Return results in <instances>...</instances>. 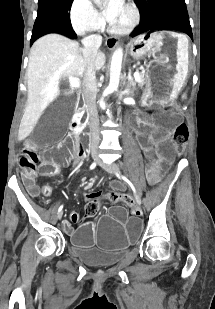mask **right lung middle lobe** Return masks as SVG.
<instances>
[{"mask_svg": "<svg viewBox=\"0 0 215 309\" xmlns=\"http://www.w3.org/2000/svg\"><path fill=\"white\" fill-rule=\"evenodd\" d=\"M72 1L38 0V12L32 31L31 44L42 35L52 32L76 38L69 14Z\"/></svg>", "mask_w": 215, "mask_h": 309, "instance_id": "obj_1", "label": "right lung middle lobe"}]
</instances>
